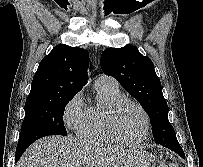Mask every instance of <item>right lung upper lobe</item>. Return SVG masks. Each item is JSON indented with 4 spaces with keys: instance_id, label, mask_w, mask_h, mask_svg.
Here are the masks:
<instances>
[{
    "instance_id": "obj_1",
    "label": "right lung upper lobe",
    "mask_w": 203,
    "mask_h": 167,
    "mask_svg": "<svg viewBox=\"0 0 203 167\" xmlns=\"http://www.w3.org/2000/svg\"><path fill=\"white\" fill-rule=\"evenodd\" d=\"M89 54L79 47L57 45L40 62L26 103L42 102L78 93L87 78Z\"/></svg>"
}]
</instances>
